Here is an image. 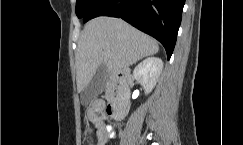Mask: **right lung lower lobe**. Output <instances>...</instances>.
I'll return each instance as SVG.
<instances>
[{
	"mask_svg": "<svg viewBox=\"0 0 243 145\" xmlns=\"http://www.w3.org/2000/svg\"><path fill=\"white\" fill-rule=\"evenodd\" d=\"M184 3L185 0H97L83 21L87 22L97 16L122 18L160 41L170 59Z\"/></svg>",
	"mask_w": 243,
	"mask_h": 145,
	"instance_id": "obj_1",
	"label": "right lung lower lobe"
}]
</instances>
